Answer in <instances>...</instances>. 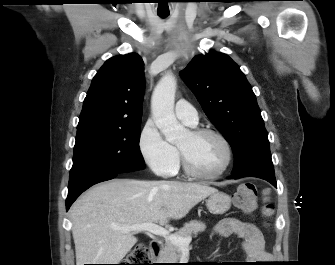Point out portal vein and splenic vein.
Returning <instances> with one entry per match:
<instances>
[{
	"instance_id": "18ae733b",
	"label": "portal vein and splenic vein",
	"mask_w": 335,
	"mask_h": 265,
	"mask_svg": "<svg viewBox=\"0 0 335 265\" xmlns=\"http://www.w3.org/2000/svg\"><path fill=\"white\" fill-rule=\"evenodd\" d=\"M116 230H120L122 232H138V231H145L150 232L151 234L162 236L168 240H170L174 245L179 247H187L189 246L192 238L181 237L175 234H170L169 231L157 224L147 222L143 224H135L131 226H123V227H115Z\"/></svg>"
}]
</instances>
